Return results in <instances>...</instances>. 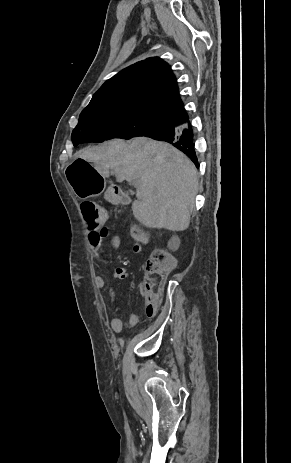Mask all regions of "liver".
Returning a JSON list of instances; mask_svg holds the SVG:
<instances>
[{"instance_id": "1", "label": "liver", "mask_w": 291, "mask_h": 463, "mask_svg": "<svg viewBox=\"0 0 291 463\" xmlns=\"http://www.w3.org/2000/svg\"><path fill=\"white\" fill-rule=\"evenodd\" d=\"M77 158L93 163L103 178L134 183V217L149 228L184 231L190 223L198 192L197 170L172 145L146 137L114 139L79 151Z\"/></svg>"}]
</instances>
